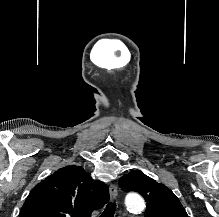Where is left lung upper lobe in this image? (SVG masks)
I'll use <instances>...</instances> for the list:
<instances>
[{"instance_id":"5c2ea615","label":"left lung upper lobe","mask_w":219,"mask_h":217,"mask_svg":"<svg viewBox=\"0 0 219 217\" xmlns=\"http://www.w3.org/2000/svg\"><path fill=\"white\" fill-rule=\"evenodd\" d=\"M120 187L140 193L146 200L145 217H188L176 195L140 170H132L119 180Z\"/></svg>"}]
</instances>
